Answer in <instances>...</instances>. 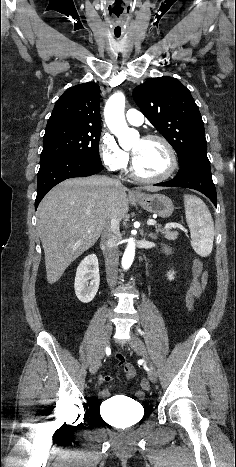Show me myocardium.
Segmentation results:
<instances>
[{
	"label": "myocardium",
	"instance_id": "myocardium-1",
	"mask_svg": "<svg viewBox=\"0 0 236 467\" xmlns=\"http://www.w3.org/2000/svg\"><path fill=\"white\" fill-rule=\"evenodd\" d=\"M142 140L145 141H150V140H157L160 141L166 148L169 159H170V165L168 170L159 176H154V177H148V176H143L141 175L136 168V163L134 157L132 158V164H131V174L132 176L141 181V182H147V183H158V182H163L171 178L175 172L178 169V157L176 154V151L172 144L163 136L158 135V134H148L145 135Z\"/></svg>",
	"mask_w": 236,
	"mask_h": 467
}]
</instances>
